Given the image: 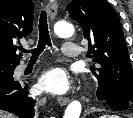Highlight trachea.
<instances>
[{"label": "trachea", "instance_id": "trachea-1", "mask_svg": "<svg viewBox=\"0 0 133 118\" xmlns=\"http://www.w3.org/2000/svg\"><path fill=\"white\" fill-rule=\"evenodd\" d=\"M39 41L37 48H34L30 51L21 48L20 51L23 53L31 52L32 56L31 59L36 60L41 52L44 50L46 45L51 46V39L48 30L47 24V13L45 11L41 12L40 19H39Z\"/></svg>", "mask_w": 133, "mask_h": 118}]
</instances>
